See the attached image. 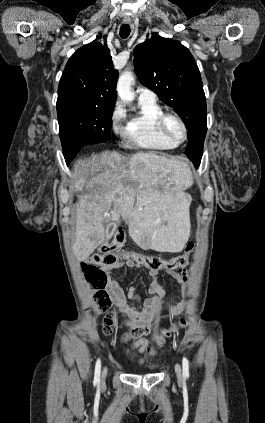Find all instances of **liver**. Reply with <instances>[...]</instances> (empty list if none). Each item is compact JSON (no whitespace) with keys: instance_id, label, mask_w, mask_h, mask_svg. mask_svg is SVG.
<instances>
[{"instance_id":"liver-1","label":"liver","mask_w":265,"mask_h":423,"mask_svg":"<svg viewBox=\"0 0 265 423\" xmlns=\"http://www.w3.org/2000/svg\"><path fill=\"white\" fill-rule=\"evenodd\" d=\"M92 167L86 182L83 173ZM76 191L96 190L81 196L76 209L73 253L84 261L104 242L105 223L120 216L129 235L141 248L177 253L190 237L191 170L184 160L155 152H138L129 161L118 152L104 151L73 167ZM136 187V188H134Z\"/></svg>"}]
</instances>
